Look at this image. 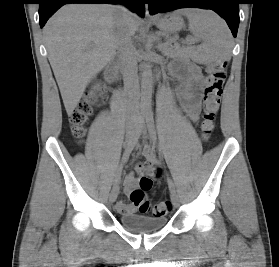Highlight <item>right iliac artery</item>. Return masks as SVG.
I'll return each mask as SVG.
<instances>
[{"instance_id":"obj_1","label":"right iliac artery","mask_w":279,"mask_h":267,"mask_svg":"<svg viewBox=\"0 0 279 267\" xmlns=\"http://www.w3.org/2000/svg\"><path fill=\"white\" fill-rule=\"evenodd\" d=\"M142 122H143V120H142ZM139 136H140V132L137 130L136 133L134 134V136L126 143V148L123 153L121 163L115 173V179H114L115 183H117L120 180L123 164L126 163L127 160L129 159L130 153L132 152L134 146L136 145Z\"/></svg>"}]
</instances>
